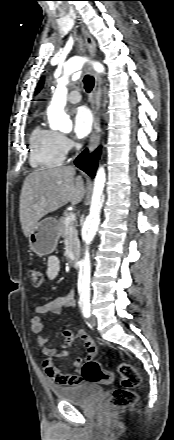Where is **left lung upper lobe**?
I'll use <instances>...</instances> for the list:
<instances>
[{"label":"left lung upper lobe","mask_w":174,"mask_h":440,"mask_svg":"<svg viewBox=\"0 0 174 440\" xmlns=\"http://www.w3.org/2000/svg\"><path fill=\"white\" fill-rule=\"evenodd\" d=\"M43 82H44V78H42V79L40 80V83L38 84L37 89H36V93H38V92L40 91V89L42 88V86H43Z\"/></svg>","instance_id":"obj_1"}]
</instances>
